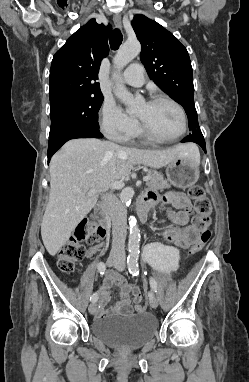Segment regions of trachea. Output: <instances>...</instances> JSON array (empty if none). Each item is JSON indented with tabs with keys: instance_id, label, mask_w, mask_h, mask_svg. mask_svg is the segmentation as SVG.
Segmentation results:
<instances>
[{
	"instance_id": "1",
	"label": "trachea",
	"mask_w": 249,
	"mask_h": 382,
	"mask_svg": "<svg viewBox=\"0 0 249 382\" xmlns=\"http://www.w3.org/2000/svg\"><path fill=\"white\" fill-rule=\"evenodd\" d=\"M110 45L113 50H117L123 41L122 33L119 29H114L110 35Z\"/></svg>"
}]
</instances>
